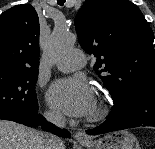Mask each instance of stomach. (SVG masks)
Segmentation results:
<instances>
[{
	"label": "stomach",
	"mask_w": 155,
	"mask_h": 149,
	"mask_svg": "<svg viewBox=\"0 0 155 149\" xmlns=\"http://www.w3.org/2000/svg\"><path fill=\"white\" fill-rule=\"evenodd\" d=\"M87 149H140L137 138L126 130L116 131L96 140L83 142Z\"/></svg>",
	"instance_id": "obj_1"
}]
</instances>
